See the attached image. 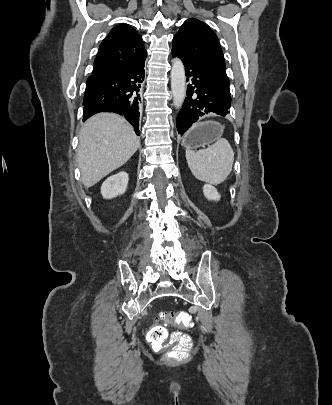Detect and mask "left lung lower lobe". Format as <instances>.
<instances>
[{
  "mask_svg": "<svg viewBox=\"0 0 332 405\" xmlns=\"http://www.w3.org/2000/svg\"><path fill=\"white\" fill-rule=\"evenodd\" d=\"M172 55L182 60L186 80L189 81L187 98L177 116V130L182 136L202 116L209 113L225 116L229 113L230 106L227 105L220 86L208 72L183 58L174 49Z\"/></svg>",
  "mask_w": 332,
  "mask_h": 405,
  "instance_id": "0a47b994",
  "label": "left lung lower lobe"
}]
</instances>
